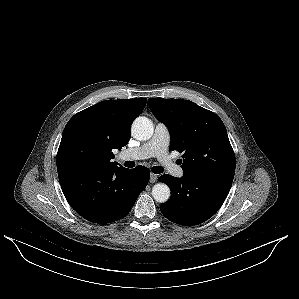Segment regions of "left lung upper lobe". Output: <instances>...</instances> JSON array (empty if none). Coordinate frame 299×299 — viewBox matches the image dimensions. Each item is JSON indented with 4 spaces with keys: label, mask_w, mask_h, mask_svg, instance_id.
<instances>
[{
    "label": "left lung upper lobe",
    "mask_w": 299,
    "mask_h": 299,
    "mask_svg": "<svg viewBox=\"0 0 299 299\" xmlns=\"http://www.w3.org/2000/svg\"><path fill=\"white\" fill-rule=\"evenodd\" d=\"M148 105L154 116L168 127L170 149L183 152L184 174L234 177L235 154L219 116L189 100L149 98Z\"/></svg>",
    "instance_id": "1"
}]
</instances>
